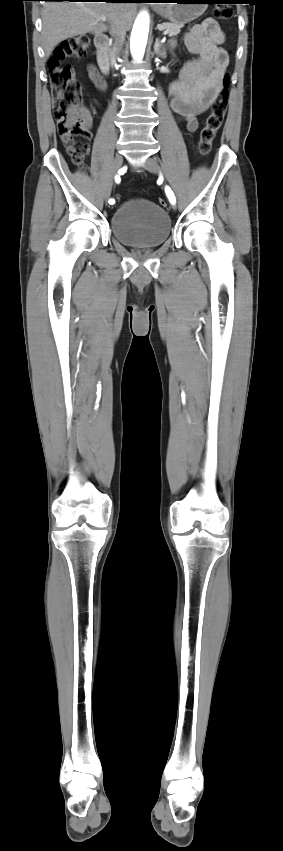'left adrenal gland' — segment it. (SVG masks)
Returning <instances> with one entry per match:
<instances>
[{
	"mask_svg": "<svg viewBox=\"0 0 283 851\" xmlns=\"http://www.w3.org/2000/svg\"><path fill=\"white\" fill-rule=\"evenodd\" d=\"M154 53L157 56H160L162 58H166V53H167L166 45L161 43L159 41V38H156V41H155V44H154Z\"/></svg>",
	"mask_w": 283,
	"mask_h": 851,
	"instance_id": "a2214340",
	"label": "left adrenal gland"
}]
</instances>
